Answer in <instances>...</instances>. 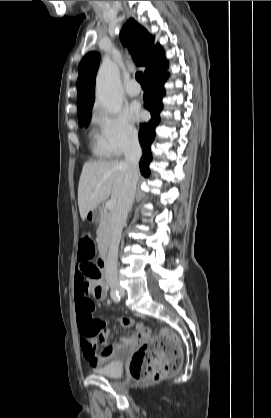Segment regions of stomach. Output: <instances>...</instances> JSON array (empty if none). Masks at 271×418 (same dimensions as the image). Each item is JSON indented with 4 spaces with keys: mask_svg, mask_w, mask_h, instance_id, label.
<instances>
[{
    "mask_svg": "<svg viewBox=\"0 0 271 418\" xmlns=\"http://www.w3.org/2000/svg\"><path fill=\"white\" fill-rule=\"evenodd\" d=\"M99 216H100V211L97 208H95L87 213L86 220L89 222H95V221H98Z\"/></svg>",
    "mask_w": 271,
    "mask_h": 418,
    "instance_id": "stomach-1",
    "label": "stomach"
}]
</instances>
